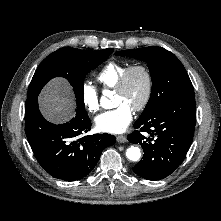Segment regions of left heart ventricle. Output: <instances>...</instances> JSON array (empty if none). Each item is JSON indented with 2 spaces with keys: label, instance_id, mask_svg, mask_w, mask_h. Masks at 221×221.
<instances>
[{
  "label": "left heart ventricle",
  "instance_id": "1",
  "mask_svg": "<svg viewBox=\"0 0 221 221\" xmlns=\"http://www.w3.org/2000/svg\"><path fill=\"white\" fill-rule=\"evenodd\" d=\"M146 89V79L142 72L131 74L127 87L123 92H115V104H126L131 109L140 103Z\"/></svg>",
  "mask_w": 221,
  "mask_h": 221
}]
</instances>
